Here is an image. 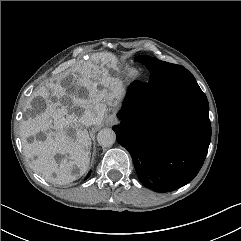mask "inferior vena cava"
Masks as SVG:
<instances>
[{"mask_svg":"<svg viewBox=\"0 0 241 241\" xmlns=\"http://www.w3.org/2000/svg\"><path fill=\"white\" fill-rule=\"evenodd\" d=\"M95 115L91 111H85L80 118V122L85 126H91L94 124Z\"/></svg>","mask_w":241,"mask_h":241,"instance_id":"1","label":"inferior vena cava"}]
</instances>
